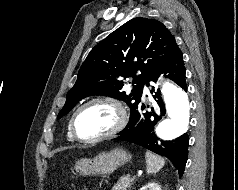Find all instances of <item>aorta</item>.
<instances>
[{
	"mask_svg": "<svg viewBox=\"0 0 238 190\" xmlns=\"http://www.w3.org/2000/svg\"><path fill=\"white\" fill-rule=\"evenodd\" d=\"M168 117L156 127V134L162 140H173L188 128L190 102L187 93L177 85L166 82L162 87Z\"/></svg>",
	"mask_w": 238,
	"mask_h": 190,
	"instance_id": "762f6f07",
	"label": "aorta"
}]
</instances>
